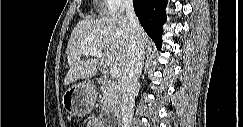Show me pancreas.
<instances>
[{
    "instance_id": "cf45deb5",
    "label": "pancreas",
    "mask_w": 243,
    "mask_h": 127,
    "mask_svg": "<svg viewBox=\"0 0 243 127\" xmlns=\"http://www.w3.org/2000/svg\"><path fill=\"white\" fill-rule=\"evenodd\" d=\"M101 92L103 94L104 105L105 107L116 108L120 99V92L116 88L115 84L111 81L107 83V85L101 88Z\"/></svg>"
}]
</instances>
